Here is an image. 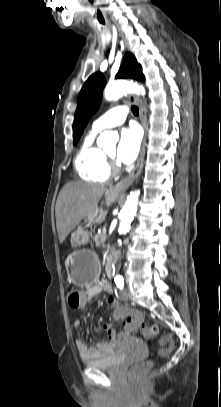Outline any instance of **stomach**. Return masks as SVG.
<instances>
[{
	"mask_svg": "<svg viewBox=\"0 0 221 407\" xmlns=\"http://www.w3.org/2000/svg\"><path fill=\"white\" fill-rule=\"evenodd\" d=\"M118 195L113 192L106 193V200L113 202ZM107 211L97 207L85 219L88 223H101L105 220ZM90 233L81 226L71 234V243L74 247L86 245L90 241ZM72 282L76 285L93 283L99 273V260L96 254L87 248L77 249L68 255L65 261Z\"/></svg>",
	"mask_w": 221,
	"mask_h": 407,
	"instance_id": "1",
	"label": "stomach"
}]
</instances>
